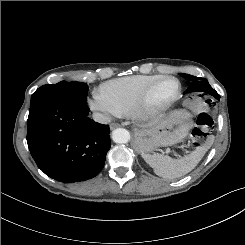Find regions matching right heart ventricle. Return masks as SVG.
Segmentation results:
<instances>
[{
    "label": "right heart ventricle",
    "mask_w": 245,
    "mask_h": 245,
    "mask_svg": "<svg viewBox=\"0 0 245 245\" xmlns=\"http://www.w3.org/2000/svg\"><path fill=\"white\" fill-rule=\"evenodd\" d=\"M162 75H133L107 81L99 91L119 110L121 115H129L141 94Z\"/></svg>",
    "instance_id": "e07e8e85"
}]
</instances>
